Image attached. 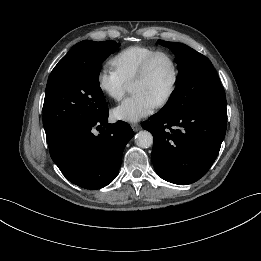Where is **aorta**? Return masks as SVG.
<instances>
[{
  "label": "aorta",
  "mask_w": 261,
  "mask_h": 261,
  "mask_svg": "<svg viewBox=\"0 0 261 261\" xmlns=\"http://www.w3.org/2000/svg\"><path fill=\"white\" fill-rule=\"evenodd\" d=\"M135 143L141 148H149L153 144V136L149 131L142 130L136 134Z\"/></svg>",
  "instance_id": "obj_1"
}]
</instances>
